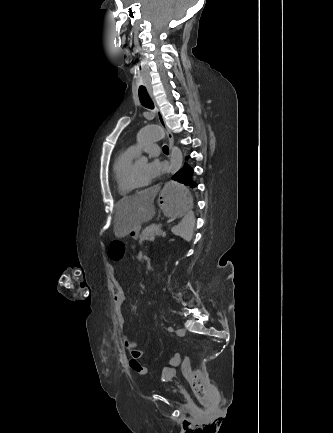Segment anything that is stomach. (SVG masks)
Segmentation results:
<instances>
[{
    "label": "stomach",
    "instance_id": "stomach-1",
    "mask_svg": "<svg viewBox=\"0 0 333 433\" xmlns=\"http://www.w3.org/2000/svg\"><path fill=\"white\" fill-rule=\"evenodd\" d=\"M159 194V203L161 204V213L165 220H183L188 210L193 209V202L190 198L188 186L185 183H164ZM139 232L132 231L134 239L138 237Z\"/></svg>",
    "mask_w": 333,
    "mask_h": 433
}]
</instances>
